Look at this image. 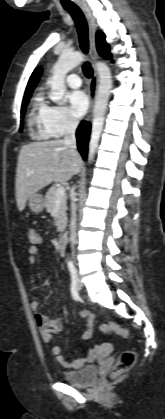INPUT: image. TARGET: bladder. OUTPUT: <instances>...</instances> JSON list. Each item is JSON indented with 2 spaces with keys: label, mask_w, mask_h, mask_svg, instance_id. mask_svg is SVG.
<instances>
[{
  "label": "bladder",
  "mask_w": 165,
  "mask_h": 419,
  "mask_svg": "<svg viewBox=\"0 0 165 419\" xmlns=\"http://www.w3.org/2000/svg\"><path fill=\"white\" fill-rule=\"evenodd\" d=\"M63 379L72 386H88L99 377V368L96 365L86 366L79 370L64 371Z\"/></svg>",
  "instance_id": "bladder-1"
}]
</instances>
